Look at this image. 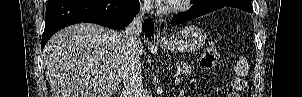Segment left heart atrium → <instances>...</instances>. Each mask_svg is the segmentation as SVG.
I'll use <instances>...</instances> for the list:
<instances>
[{"mask_svg":"<svg viewBox=\"0 0 302 97\" xmlns=\"http://www.w3.org/2000/svg\"><path fill=\"white\" fill-rule=\"evenodd\" d=\"M160 2L166 3V4H175L180 2V0H161Z\"/></svg>","mask_w":302,"mask_h":97,"instance_id":"1","label":"left heart atrium"}]
</instances>
